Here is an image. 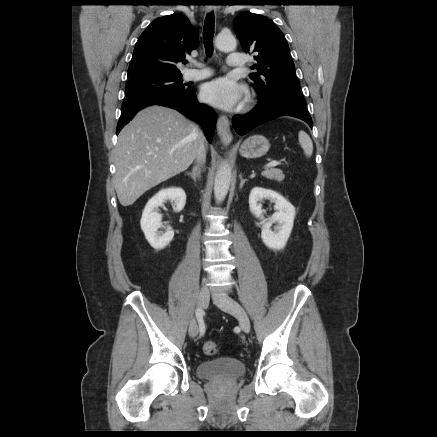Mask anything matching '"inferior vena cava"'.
I'll return each instance as SVG.
<instances>
[{"label":"inferior vena cava","mask_w":437,"mask_h":437,"mask_svg":"<svg viewBox=\"0 0 437 437\" xmlns=\"http://www.w3.org/2000/svg\"><path fill=\"white\" fill-rule=\"evenodd\" d=\"M196 159H197V162L199 164H204V162L206 160V147H205V144H204V138H203V141H202V143H201V145L199 147Z\"/></svg>","instance_id":"1"}]
</instances>
